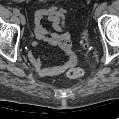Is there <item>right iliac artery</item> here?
I'll return each mask as SVG.
<instances>
[{
    "mask_svg": "<svg viewBox=\"0 0 119 119\" xmlns=\"http://www.w3.org/2000/svg\"><path fill=\"white\" fill-rule=\"evenodd\" d=\"M13 13H14L15 15H19V14H20V12H19V10H18L17 8H14V9H13Z\"/></svg>",
    "mask_w": 119,
    "mask_h": 119,
    "instance_id": "right-iliac-artery-1",
    "label": "right iliac artery"
}]
</instances>
